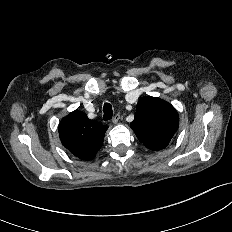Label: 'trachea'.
<instances>
[{
    "instance_id": "3493384b",
    "label": "trachea",
    "mask_w": 232,
    "mask_h": 232,
    "mask_svg": "<svg viewBox=\"0 0 232 232\" xmlns=\"http://www.w3.org/2000/svg\"><path fill=\"white\" fill-rule=\"evenodd\" d=\"M103 112H104V115H103L104 121H108L112 119L113 109L110 103H104Z\"/></svg>"
}]
</instances>
